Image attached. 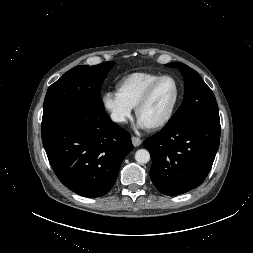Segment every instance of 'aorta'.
Returning a JSON list of instances; mask_svg holds the SVG:
<instances>
[{
    "instance_id": "aorta-1",
    "label": "aorta",
    "mask_w": 253,
    "mask_h": 253,
    "mask_svg": "<svg viewBox=\"0 0 253 253\" xmlns=\"http://www.w3.org/2000/svg\"><path fill=\"white\" fill-rule=\"evenodd\" d=\"M135 160L139 163V164H146L149 162L150 160V153L148 150L146 149H139L136 151L135 153Z\"/></svg>"
}]
</instances>
